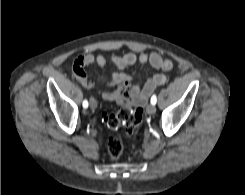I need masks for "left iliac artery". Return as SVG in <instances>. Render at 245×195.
Here are the masks:
<instances>
[{"instance_id": "obj_1", "label": "left iliac artery", "mask_w": 245, "mask_h": 195, "mask_svg": "<svg viewBox=\"0 0 245 195\" xmlns=\"http://www.w3.org/2000/svg\"><path fill=\"white\" fill-rule=\"evenodd\" d=\"M156 102H157V97H156V95H153V96L151 97V104L155 105Z\"/></svg>"}]
</instances>
